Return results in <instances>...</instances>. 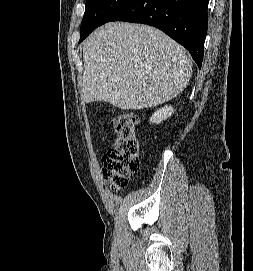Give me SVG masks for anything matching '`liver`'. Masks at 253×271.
Returning a JSON list of instances; mask_svg holds the SVG:
<instances>
[{
	"mask_svg": "<svg viewBox=\"0 0 253 271\" xmlns=\"http://www.w3.org/2000/svg\"><path fill=\"white\" fill-rule=\"evenodd\" d=\"M82 97L124 110L157 106L188 85L192 61L162 31L131 23H107L83 44Z\"/></svg>",
	"mask_w": 253,
	"mask_h": 271,
	"instance_id": "6515ba94",
	"label": "liver"
}]
</instances>
